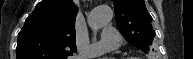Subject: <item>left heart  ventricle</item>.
Listing matches in <instances>:
<instances>
[{
	"instance_id": "obj_1",
	"label": "left heart ventricle",
	"mask_w": 193,
	"mask_h": 59,
	"mask_svg": "<svg viewBox=\"0 0 193 59\" xmlns=\"http://www.w3.org/2000/svg\"><path fill=\"white\" fill-rule=\"evenodd\" d=\"M112 52H113V49H111V48H106V49L103 50L104 54H110Z\"/></svg>"
}]
</instances>
